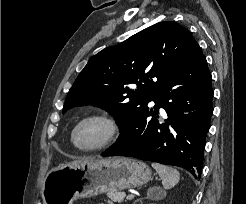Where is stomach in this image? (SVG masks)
<instances>
[{
    "label": "stomach",
    "instance_id": "stomach-1",
    "mask_svg": "<svg viewBox=\"0 0 246 204\" xmlns=\"http://www.w3.org/2000/svg\"><path fill=\"white\" fill-rule=\"evenodd\" d=\"M151 175L148 165L131 158L85 159L51 169L41 197L44 204H72L79 198L142 186Z\"/></svg>",
    "mask_w": 246,
    "mask_h": 204
}]
</instances>
